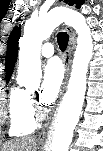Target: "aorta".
Returning <instances> with one entry per match:
<instances>
[{
    "mask_svg": "<svg viewBox=\"0 0 103 151\" xmlns=\"http://www.w3.org/2000/svg\"><path fill=\"white\" fill-rule=\"evenodd\" d=\"M61 23L72 26L77 34V46L74 53L68 90L61 103L46 151H68L73 131L82 111L87 83L88 64L93 55V40L85 17L77 11L56 7L47 14L25 23L24 35L19 50V80L40 72V49L43 40L50 37Z\"/></svg>",
    "mask_w": 103,
    "mask_h": 151,
    "instance_id": "1",
    "label": "aorta"
}]
</instances>
